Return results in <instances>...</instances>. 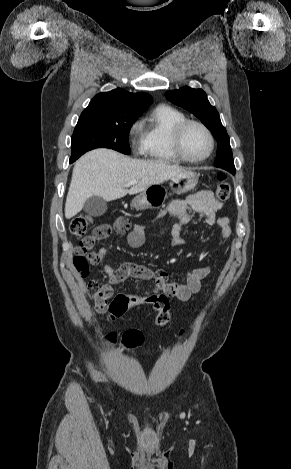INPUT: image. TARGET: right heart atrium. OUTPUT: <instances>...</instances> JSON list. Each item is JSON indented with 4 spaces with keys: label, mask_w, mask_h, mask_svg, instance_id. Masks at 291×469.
<instances>
[{
    "label": "right heart atrium",
    "mask_w": 291,
    "mask_h": 469,
    "mask_svg": "<svg viewBox=\"0 0 291 469\" xmlns=\"http://www.w3.org/2000/svg\"><path fill=\"white\" fill-rule=\"evenodd\" d=\"M140 130V123L139 122H135L131 125L130 129H129V133L131 136H134L136 135Z\"/></svg>",
    "instance_id": "right-heart-atrium-1"
}]
</instances>
